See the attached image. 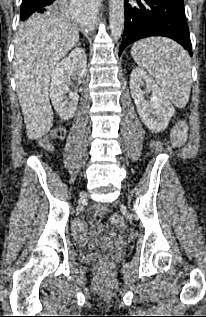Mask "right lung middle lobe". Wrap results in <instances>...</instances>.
Returning <instances> with one entry per match:
<instances>
[{
    "mask_svg": "<svg viewBox=\"0 0 206 317\" xmlns=\"http://www.w3.org/2000/svg\"><path fill=\"white\" fill-rule=\"evenodd\" d=\"M66 2L67 0H58V2L54 6H52L48 11L49 12L61 11L65 7ZM20 10H21V13H20L21 20L24 21L32 14L34 13L36 14V11L38 10V8L31 5V3H29V0H23Z\"/></svg>",
    "mask_w": 206,
    "mask_h": 317,
    "instance_id": "1",
    "label": "right lung middle lobe"
}]
</instances>
